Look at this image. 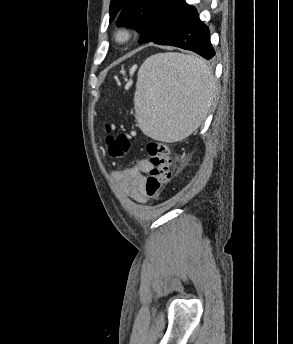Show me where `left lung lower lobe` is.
<instances>
[{
    "instance_id": "left-lung-lower-lobe-1",
    "label": "left lung lower lobe",
    "mask_w": 293,
    "mask_h": 344,
    "mask_svg": "<svg viewBox=\"0 0 293 344\" xmlns=\"http://www.w3.org/2000/svg\"><path fill=\"white\" fill-rule=\"evenodd\" d=\"M159 44L191 50L208 60L215 55L210 43L209 29L200 21L195 7L192 6L172 34Z\"/></svg>"
}]
</instances>
